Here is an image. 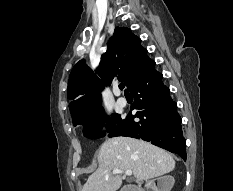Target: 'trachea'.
I'll return each mask as SVG.
<instances>
[{"mask_svg": "<svg viewBox=\"0 0 233 191\" xmlns=\"http://www.w3.org/2000/svg\"><path fill=\"white\" fill-rule=\"evenodd\" d=\"M125 87L123 83L119 84V88L122 90ZM125 93H127V90H125Z\"/></svg>", "mask_w": 233, "mask_h": 191, "instance_id": "3493384b", "label": "trachea"}]
</instances>
